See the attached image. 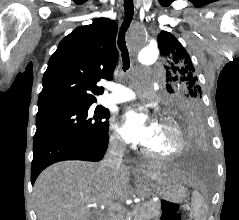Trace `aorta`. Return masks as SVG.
<instances>
[{
    "instance_id": "obj_1",
    "label": "aorta",
    "mask_w": 239,
    "mask_h": 220,
    "mask_svg": "<svg viewBox=\"0 0 239 220\" xmlns=\"http://www.w3.org/2000/svg\"><path fill=\"white\" fill-rule=\"evenodd\" d=\"M138 48H141V53H138V59L142 65H150L156 61L158 57V49L156 46L143 45Z\"/></svg>"
}]
</instances>
